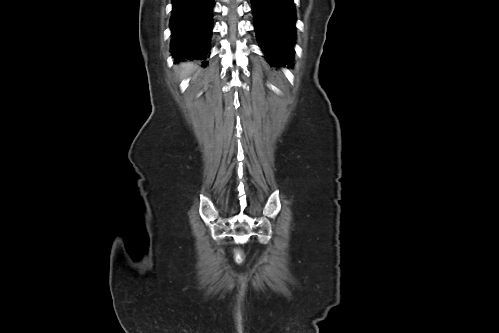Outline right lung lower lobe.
<instances>
[{
  "instance_id": "obj_1",
  "label": "right lung lower lobe",
  "mask_w": 499,
  "mask_h": 333,
  "mask_svg": "<svg viewBox=\"0 0 499 333\" xmlns=\"http://www.w3.org/2000/svg\"><path fill=\"white\" fill-rule=\"evenodd\" d=\"M172 4L171 52L175 62L184 58L206 60L213 25L214 0H172Z\"/></svg>"
}]
</instances>
